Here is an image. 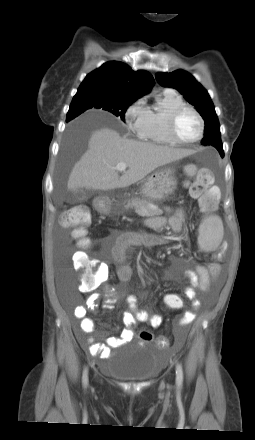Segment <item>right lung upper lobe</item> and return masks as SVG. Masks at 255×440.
<instances>
[{"mask_svg": "<svg viewBox=\"0 0 255 440\" xmlns=\"http://www.w3.org/2000/svg\"><path fill=\"white\" fill-rule=\"evenodd\" d=\"M153 85L154 79L149 72L133 71L125 63L112 61L88 74L76 94L97 93L106 97L135 101L146 95ZM71 119L67 118L66 121Z\"/></svg>", "mask_w": 255, "mask_h": 440, "instance_id": "obj_1", "label": "right lung upper lobe"}]
</instances>
